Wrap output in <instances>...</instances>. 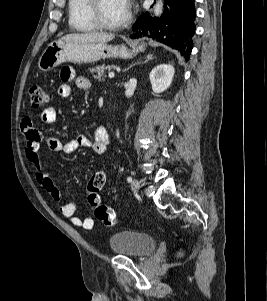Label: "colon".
<instances>
[{"label": "colon", "mask_w": 267, "mask_h": 301, "mask_svg": "<svg viewBox=\"0 0 267 301\" xmlns=\"http://www.w3.org/2000/svg\"><path fill=\"white\" fill-rule=\"evenodd\" d=\"M29 96L33 108L44 106L49 101L47 92L39 85H33L29 89ZM106 180L105 171L95 172L88 183V201L93 207L95 217L104 225L111 227L117 222L114 210L103 204L99 192Z\"/></svg>", "instance_id": "5ec220e1"}]
</instances>
